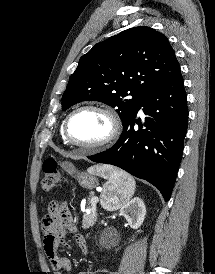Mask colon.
I'll use <instances>...</instances> for the list:
<instances>
[{
	"label": "colon",
	"mask_w": 215,
	"mask_h": 274,
	"mask_svg": "<svg viewBox=\"0 0 215 274\" xmlns=\"http://www.w3.org/2000/svg\"><path fill=\"white\" fill-rule=\"evenodd\" d=\"M43 177L41 187L43 191H51L57 188L61 182L59 166L56 160L49 158L43 162Z\"/></svg>",
	"instance_id": "colon-1"
}]
</instances>
